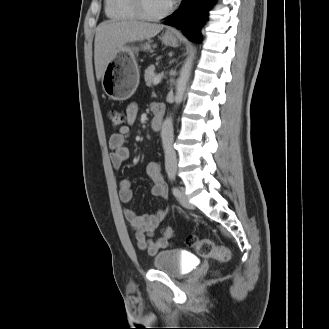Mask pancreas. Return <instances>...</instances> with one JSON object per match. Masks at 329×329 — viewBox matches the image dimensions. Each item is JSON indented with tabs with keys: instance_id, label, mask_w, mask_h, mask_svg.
<instances>
[{
	"instance_id": "pancreas-1",
	"label": "pancreas",
	"mask_w": 329,
	"mask_h": 329,
	"mask_svg": "<svg viewBox=\"0 0 329 329\" xmlns=\"http://www.w3.org/2000/svg\"><path fill=\"white\" fill-rule=\"evenodd\" d=\"M154 70H155L154 65H150L145 70L144 79H145V82H146V85L147 86H150L152 84V82H153V79L155 77Z\"/></svg>"
}]
</instances>
